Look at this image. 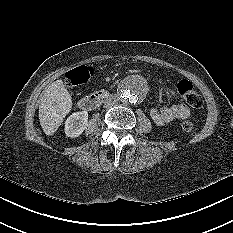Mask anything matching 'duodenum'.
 <instances>
[{"instance_id": "410a0bca", "label": "duodenum", "mask_w": 233, "mask_h": 233, "mask_svg": "<svg viewBox=\"0 0 233 233\" xmlns=\"http://www.w3.org/2000/svg\"><path fill=\"white\" fill-rule=\"evenodd\" d=\"M109 97V92L107 91H97L90 95L80 98L78 101V106L80 109L85 111H91L96 109L101 103Z\"/></svg>"}]
</instances>
